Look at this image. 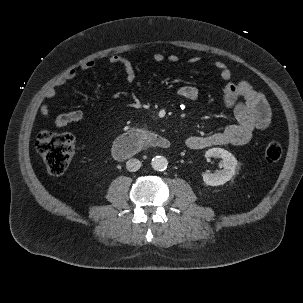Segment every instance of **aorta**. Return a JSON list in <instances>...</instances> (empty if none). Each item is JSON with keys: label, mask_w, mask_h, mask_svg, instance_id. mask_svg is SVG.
<instances>
[{"label": "aorta", "mask_w": 303, "mask_h": 303, "mask_svg": "<svg viewBox=\"0 0 303 303\" xmlns=\"http://www.w3.org/2000/svg\"><path fill=\"white\" fill-rule=\"evenodd\" d=\"M152 168L156 171H163L168 166V161L164 156H156L151 161Z\"/></svg>", "instance_id": "obj_1"}]
</instances>
